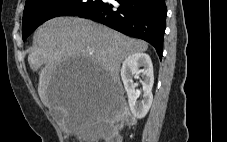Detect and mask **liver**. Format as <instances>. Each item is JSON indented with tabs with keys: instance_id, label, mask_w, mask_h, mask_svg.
Returning <instances> with one entry per match:
<instances>
[{
	"instance_id": "1",
	"label": "liver",
	"mask_w": 227,
	"mask_h": 142,
	"mask_svg": "<svg viewBox=\"0 0 227 142\" xmlns=\"http://www.w3.org/2000/svg\"><path fill=\"white\" fill-rule=\"evenodd\" d=\"M37 46L30 52L28 63L33 71L45 65L39 76L38 93L50 110L64 113L66 132L81 134L88 120L97 117L96 102L107 90H120L119 71L128 56L148 49L143 40L133 39L91 20L57 17L41 25L34 34ZM59 61H94L98 78L92 88H63L54 81ZM106 87V88H105Z\"/></svg>"
}]
</instances>
